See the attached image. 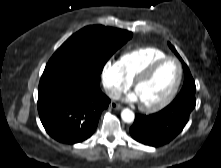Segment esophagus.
I'll use <instances>...</instances> for the list:
<instances>
[{
  "label": "esophagus",
  "instance_id": "esophagus-1",
  "mask_svg": "<svg viewBox=\"0 0 221 168\" xmlns=\"http://www.w3.org/2000/svg\"><path fill=\"white\" fill-rule=\"evenodd\" d=\"M110 108L119 110V109L122 108V106L120 104L116 103V102H111L110 103Z\"/></svg>",
  "mask_w": 221,
  "mask_h": 168
}]
</instances>
